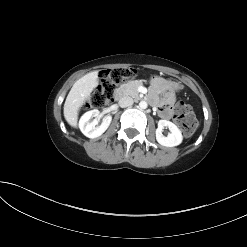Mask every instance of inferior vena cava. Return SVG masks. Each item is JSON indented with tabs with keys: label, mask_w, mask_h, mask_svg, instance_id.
I'll use <instances>...</instances> for the list:
<instances>
[{
	"label": "inferior vena cava",
	"mask_w": 247,
	"mask_h": 247,
	"mask_svg": "<svg viewBox=\"0 0 247 247\" xmlns=\"http://www.w3.org/2000/svg\"><path fill=\"white\" fill-rule=\"evenodd\" d=\"M133 99L129 96H123L122 98H120L119 100V106L122 108L131 106L133 104Z\"/></svg>",
	"instance_id": "obj_1"
}]
</instances>
